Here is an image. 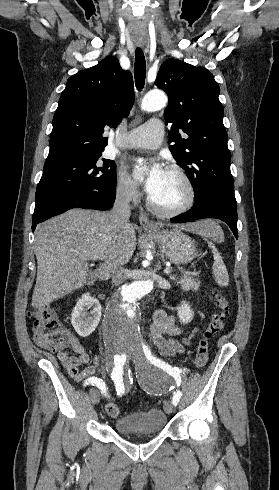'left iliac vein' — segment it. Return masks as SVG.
<instances>
[{"label":"left iliac vein","mask_w":279,"mask_h":490,"mask_svg":"<svg viewBox=\"0 0 279 490\" xmlns=\"http://www.w3.org/2000/svg\"><path fill=\"white\" fill-rule=\"evenodd\" d=\"M129 360H135L134 358V355H129ZM165 411L168 413V414H171L173 412V406H172V403L170 401H167L166 404H165Z\"/></svg>","instance_id":"4c4485c4"}]
</instances>
